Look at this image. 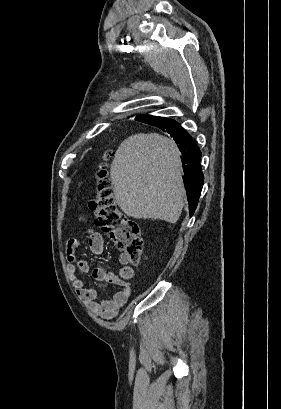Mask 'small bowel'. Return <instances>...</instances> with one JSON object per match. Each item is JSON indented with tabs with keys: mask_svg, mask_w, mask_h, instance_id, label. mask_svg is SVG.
<instances>
[{
	"mask_svg": "<svg viewBox=\"0 0 281 409\" xmlns=\"http://www.w3.org/2000/svg\"><path fill=\"white\" fill-rule=\"evenodd\" d=\"M88 245L90 251L94 255H101L104 251V243L102 236L92 229L88 230ZM79 246V241L76 238H70L66 243V251L68 254L67 273L71 280L74 281L77 294L88 304L95 314L105 318L112 319L127 303L133 293L131 281L135 277V270L130 265H123L118 274L108 272L101 267H93L86 260L77 259L74 255ZM90 274L98 282H107L119 287V290L112 298H100L98 292L87 286L83 280L77 277V272Z\"/></svg>",
	"mask_w": 281,
	"mask_h": 409,
	"instance_id": "small-bowel-1",
	"label": "small bowel"
}]
</instances>
